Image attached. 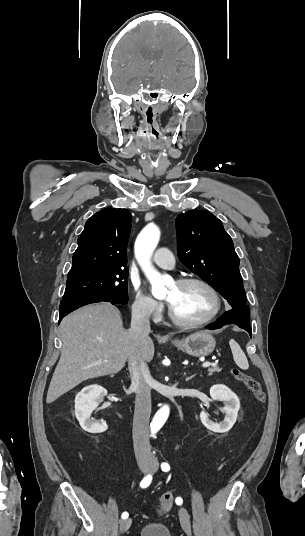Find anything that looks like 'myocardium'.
Wrapping results in <instances>:
<instances>
[{
	"mask_svg": "<svg viewBox=\"0 0 305 536\" xmlns=\"http://www.w3.org/2000/svg\"><path fill=\"white\" fill-rule=\"evenodd\" d=\"M176 284L179 286H188V285H193V284L203 285L213 292L218 302L216 311L210 317L204 320H200V321H190V320L185 319L184 317L179 315L174 309H172V307L168 304V315L171 318V320L175 322L176 324L183 326V327H187V328H200V327H204L213 323L224 312L225 310L224 297L222 293L220 292V290L209 281L200 277H185V278L179 279L176 282Z\"/></svg>",
	"mask_w": 305,
	"mask_h": 536,
	"instance_id": "f54148a6",
	"label": "myocardium"
}]
</instances>
